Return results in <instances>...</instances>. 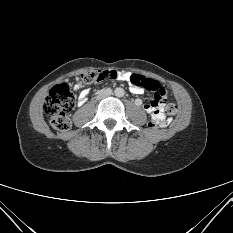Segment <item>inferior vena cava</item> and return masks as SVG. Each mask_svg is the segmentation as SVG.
<instances>
[{
	"mask_svg": "<svg viewBox=\"0 0 233 233\" xmlns=\"http://www.w3.org/2000/svg\"><path fill=\"white\" fill-rule=\"evenodd\" d=\"M113 93V90L110 87H107L104 91L98 94L99 98L110 96Z\"/></svg>",
	"mask_w": 233,
	"mask_h": 233,
	"instance_id": "602c4592",
	"label": "inferior vena cava"
}]
</instances>
